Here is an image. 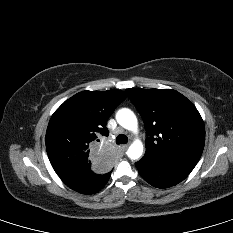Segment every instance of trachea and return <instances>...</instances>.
Returning a JSON list of instances; mask_svg holds the SVG:
<instances>
[{
    "mask_svg": "<svg viewBox=\"0 0 233 233\" xmlns=\"http://www.w3.org/2000/svg\"><path fill=\"white\" fill-rule=\"evenodd\" d=\"M128 142V138L124 134H120L116 138V143L117 144H126Z\"/></svg>",
    "mask_w": 233,
    "mask_h": 233,
    "instance_id": "obj_1",
    "label": "trachea"
}]
</instances>
